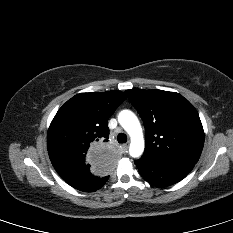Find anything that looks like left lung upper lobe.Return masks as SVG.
Segmentation results:
<instances>
[{
	"label": "left lung upper lobe",
	"mask_w": 233,
	"mask_h": 233,
	"mask_svg": "<svg viewBox=\"0 0 233 233\" xmlns=\"http://www.w3.org/2000/svg\"><path fill=\"white\" fill-rule=\"evenodd\" d=\"M141 116L145 131L143 158L196 164L204 144V131L193 105L175 92L127 90Z\"/></svg>",
	"instance_id": "1"
}]
</instances>
